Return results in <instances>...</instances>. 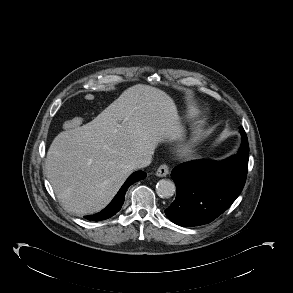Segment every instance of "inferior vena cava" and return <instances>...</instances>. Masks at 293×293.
I'll list each match as a JSON object with an SVG mask.
<instances>
[{
	"mask_svg": "<svg viewBox=\"0 0 293 293\" xmlns=\"http://www.w3.org/2000/svg\"><path fill=\"white\" fill-rule=\"evenodd\" d=\"M152 154L153 153H149L136 159L133 163V167L135 169L147 167L152 161Z\"/></svg>",
	"mask_w": 293,
	"mask_h": 293,
	"instance_id": "inferior-vena-cava-1",
	"label": "inferior vena cava"
}]
</instances>
